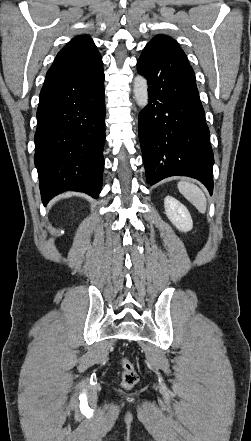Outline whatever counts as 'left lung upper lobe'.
<instances>
[{
    "mask_svg": "<svg viewBox=\"0 0 251 441\" xmlns=\"http://www.w3.org/2000/svg\"><path fill=\"white\" fill-rule=\"evenodd\" d=\"M146 46L158 49L170 50L186 56L184 51L180 48L176 40L166 35H156Z\"/></svg>",
    "mask_w": 251,
    "mask_h": 441,
    "instance_id": "5c2ea615",
    "label": "left lung upper lobe"
}]
</instances>
